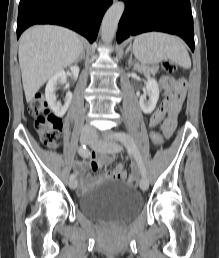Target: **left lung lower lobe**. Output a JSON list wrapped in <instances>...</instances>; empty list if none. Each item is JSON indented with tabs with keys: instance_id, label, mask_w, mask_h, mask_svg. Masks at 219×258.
I'll use <instances>...</instances> for the list:
<instances>
[{
	"instance_id": "left-lung-lower-lobe-1",
	"label": "left lung lower lobe",
	"mask_w": 219,
	"mask_h": 258,
	"mask_svg": "<svg viewBox=\"0 0 219 258\" xmlns=\"http://www.w3.org/2000/svg\"><path fill=\"white\" fill-rule=\"evenodd\" d=\"M117 42L148 31L180 36L194 51L193 17L190 0H123Z\"/></svg>"
}]
</instances>
